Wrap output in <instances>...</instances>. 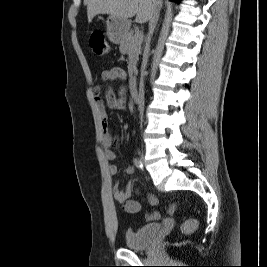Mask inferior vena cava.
<instances>
[{
    "mask_svg": "<svg viewBox=\"0 0 267 267\" xmlns=\"http://www.w3.org/2000/svg\"><path fill=\"white\" fill-rule=\"evenodd\" d=\"M154 3L156 5V7H155V9L153 11V14H152L150 20H149V33H148L146 46H145V50H144V59H143V65H142L143 69H142L141 79H140L139 99H138V105H139L140 114H142L143 109H144V69L146 67L147 60H148V53H149V50H150L151 37L153 35L154 29L156 27V24L158 22L160 8L162 6L161 0H154Z\"/></svg>",
    "mask_w": 267,
    "mask_h": 267,
    "instance_id": "602c4592",
    "label": "inferior vena cava"
}]
</instances>
